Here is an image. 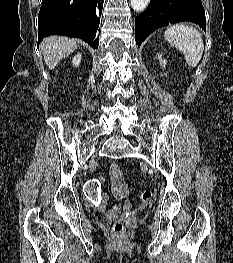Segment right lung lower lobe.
Here are the masks:
<instances>
[{
    "label": "right lung lower lobe",
    "mask_w": 233,
    "mask_h": 263,
    "mask_svg": "<svg viewBox=\"0 0 233 263\" xmlns=\"http://www.w3.org/2000/svg\"><path fill=\"white\" fill-rule=\"evenodd\" d=\"M104 0H43L38 15V44L57 34L80 38L98 48L96 32Z\"/></svg>",
    "instance_id": "right-lung-lower-lobe-1"
}]
</instances>
